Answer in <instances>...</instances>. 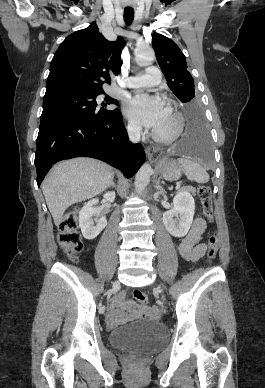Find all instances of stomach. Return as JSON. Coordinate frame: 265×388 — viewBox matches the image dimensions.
<instances>
[{
    "mask_svg": "<svg viewBox=\"0 0 265 388\" xmlns=\"http://www.w3.org/2000/svg\"><path fill=\"white\" fill-rule=\"evenodd\" d=\"M157 167L159 173L169 181L178 180L182 175V167L174 159L163 158L158 162Z\"/></svg>",
    "mask_w": 265,
    "mask_h": 388,
    "instance_id": "1",
    "label": "stomach"
}]
</instances>
